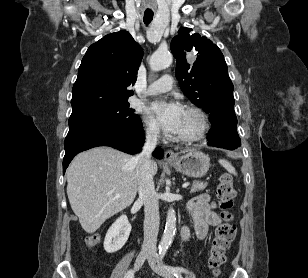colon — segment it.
<instances>
[{
    "label": "colon",
    "mask_w": 308,
    "mask_h": 278,
    "mask_svg": "<svg viewBox=\"0 0 308 278\" xmlns=\"http://www.w3.org/2000/svg\"><path fill=\"white\" fill-rule=\"evenodd\" d=\"M216 194L221 209L222 222L215 230L208 259L209 267L215 275L219 274L220 268L226 260V251L236 234V227L232 223L233 216L230 212L235 196L233 180L230 174L223 173L220 176ZM102 235L107 237L109 232L104 230ZM98 240L99 236L88 237L87 244L94 246Z\"/></svg>",
    "instance_id": "1"
}]
</instances>
